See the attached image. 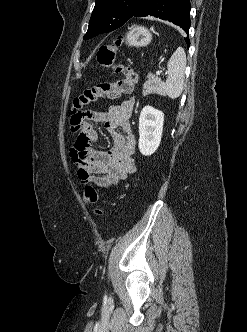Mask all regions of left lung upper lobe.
Returning a JSON list of instances; mask_svg holds the SVG:
<instances>
[{"label": "left lung upper lobe", "mask_w": 247, "mask_h": 332, "mask_svg": "<svg viewBox=\"0 0 247 332\" xmlns=\"http://www.w3.org/2000/svg\"><path fill=\"white\" fill-rule=\"evenodd\" d=\"M146 0H96L84 40L123 26Z\"/></svg>", "instance_id": "obj_1"}]
</instances>
